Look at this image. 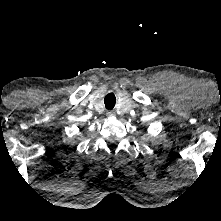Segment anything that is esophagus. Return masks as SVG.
Masks as SVG:
<instances>
[{
  "label": "esophagus",
  "instance_id": "obj_1",
  "mask_svg": "<svg viewBox=\"0 0 221 221\" xmlns=\"http://www.w3.org/2000/svg\"><path fill=\"white\" fill-rule=\"evenodd\" d=\"M106 115L108 117H114L115 116V112L114 111H107Z\"/></svg>",
  "mask_w": 221,
  "mask_h": 221
}]
</instances>
